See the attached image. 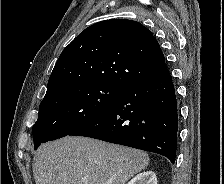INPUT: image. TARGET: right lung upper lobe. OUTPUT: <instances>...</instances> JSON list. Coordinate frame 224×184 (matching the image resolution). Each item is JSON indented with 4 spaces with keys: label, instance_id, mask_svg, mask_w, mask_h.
Masks as SVG:
<instances>
[{
    "label": "right lung upper lobe",
    "instance_id": "right-lung-upper-lobe-1",
    "mask_svg": "<svg viewBox=\"0 0 224 184\" xmlns=\"http://www.w3.org/2000/svg\"><path fill=\"white\" fill-rule=\"evenodd\" d=\"M168 73L160 45L146 27L127 19L105 20L86 28L62 51L43 100L79 83L128 86Z\"/></svg>",
    "mask_w": 224,
    "mask_h": 184
}]
</instances>
